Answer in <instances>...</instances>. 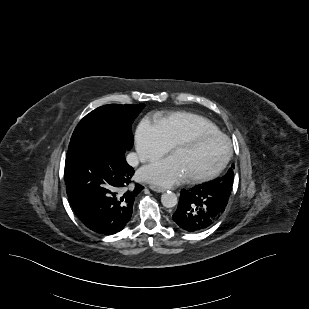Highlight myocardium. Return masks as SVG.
I'll use <instances>...</instances> for the list:
<instances>
[{
  "instance_id": "1",
  "label": "myocardium",
  "mask_w": 309,
  "mask_h": 309,
  "mask_svg": "<svg viewBox=\"0 0 309 309\" xmlns=\"http://www.w3.org/2000/svg\"><path fill=\"white\" fill-rule=\"evenodd\" d=\"M208 138H217V139L223 140L226 145L225 155L222 161L220 162V164L212 172L205 174V175L187 177V180L191 183H195V184L204 183V182L213 180L214 178L219 176L223 172V170L226 168V166L228 165L232 157V154H233L232 143L230 139L221 132H211V131L200 130V131L192 132L191 134L181 138L180 140H178L177 142L173 144L172 149L174 151L175 149L179 147L196 144Z\"/></svg>"
}]
</instances>
